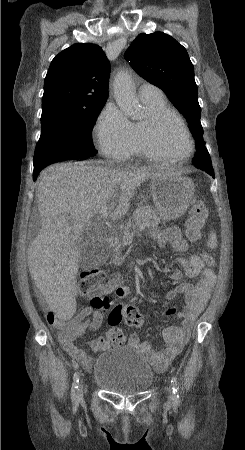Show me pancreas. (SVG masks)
I'll list each match as a JSON object with an SVG mask.
<instances>
[{
    "label": "pancreas",
    "instance_id": "obj_1",
    "mask_svg": "<svg viewBox=\"0 0 245 450\" xmlns=\"http://www.w3.org/2000/svg\"><path fill=\"white\" fill-rule=\"evenodd\" d=\"M160 224L158 214L150 206H139L127 222L123 231V246L131 244L135 231L155 228Z\"/></svg>",
    "mask_w": 245,
    "mask_h": 450
}]
</instances>
